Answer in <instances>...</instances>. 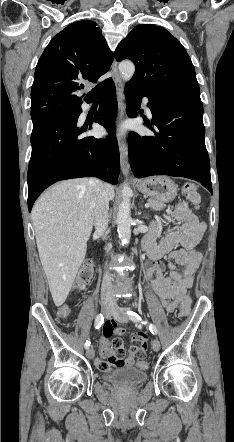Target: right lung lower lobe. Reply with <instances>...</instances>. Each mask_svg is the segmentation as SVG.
Here are the masks:
<instances>
[{"instance_id": "right-lung-lower-lobe-1", "label": "right lung lower lobe", "mask_w": 234, "mask_h": 442, "mask_svg": "<svg viewBox=\"0 0 234 442\" xmlns=\"http://www.w3.org/2000/svg\"><path fill=\"white\" fill-rule=\"evenodd\" d=\"M99 95L100 106L93 121L107 129V138L82 136L91 129V124L90 127L77 125L82 101L31 111L32 154L27 175L29 211L38 196L60 180L96 176L113 185L118 183L119 150L114 135L117 100L112 79L85 101L91 102Z\"/></svg>"}]
</instances>
